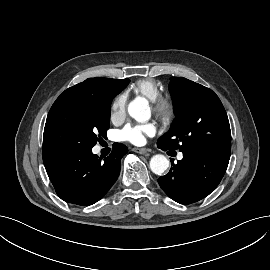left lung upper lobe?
Here are the masks:
<instances>
[{"label": "left lung upper lobe", "instance_id": "left-lung-upper-lobe-1", "mask_svg": "<svg viewBox=\"0 0 270 270\" xmlns=\"http://www.w3.org/2000/svg\"><path fill=\"white\" fill-rule=\"evenodd\" d=\"M169 90L176 118L157 145L181 152L192 149L231 151V131L226 111L209 88L183 77L170 78Z\"/></svg>", "mask_w": 270, "mask_h": 270}]
</instances>
